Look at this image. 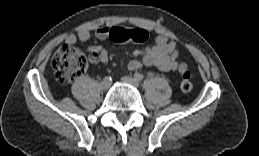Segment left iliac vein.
Listing matches in <instances>:
<instances>
[{
  "mask_svg": "<svg viewBox=\"0 0 259 156\" xmlns=\"http://www.w3.org/2000/svg\"><path fill=\"white\" fill-rule=\"evenodd\" d=\"M122 81L125 82V83H128L134 87H138L139 86V83L138 81L135 79V78H131L129 76H124L122 77Z\"/></svg>",
  "mask_w": 259,
  "mask_h": 156,
  "instance_id": "obj_1",
  "label": "left iliac vein"
}]
</instances>
